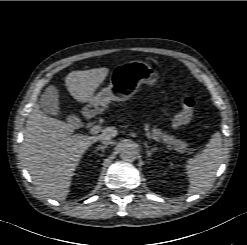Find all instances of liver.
Masks as SVG:
<instances>
[{
    "label": "liver",
    "mask_w": 247,
    "mask_h": 245,
    "mask_svg": "<svg viewBox=\"0 0 247 245\" xmlns=\"http://www.w3.org/2000/svg\"><path fill=\"white\" fill-rule=\"evenodd\" d=\"M108 72V68L72 71L65 77V86L75 100L97 108L95 91ZM116 135L115 127H107L97 136L74 134L70 124L49 117L37 105L27 119L22 147L23 161L38 190L64 201L70 191L74 172L86 150L93 143Z\"/></svg>",
    "instance_id": "liver-1"
}]
</instances>
